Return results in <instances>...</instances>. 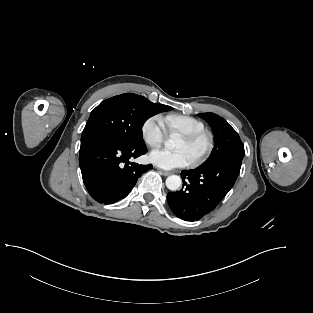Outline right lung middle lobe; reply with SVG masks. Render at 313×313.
I'll return each mask as SVG.
<instances>
[{"label":"right lung middle lobe","mask_w":313,"mask_h":313,"mask_svg":"<svg viewBox=\"0 0 313 313\" xmlns=\"http://www.w3.org/2000/svg\"><path fill=\"white\" fill-rule=\"evenodd\" d=\"M172 107L126 93L101 102L90 114L81 140L94 134H108L130 144L144 143L142 127L151 116Z\"/></svg>","instance_id":"obj_1"}]
</instances>
